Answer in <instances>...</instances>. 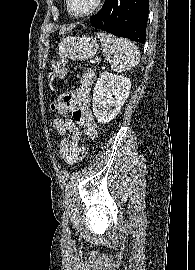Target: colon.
Here are the masks:
<instances>
[{
    "label": "colon",
    "instance_id": "5ec220e1",
    "mask_svg": "<svg viewBox=\"0 0 195 270\" xmlns=\"http://www.w3.org/2000/svg\"><path fill=\"white\" fill-rule=\"evenodd\" d=\"M74 101V93L73 91L66 92L60 96H58L53 103L51 104V110L53 112H58L61 110H65L69 108ZM88 154V147L86 145H82L80 148V159H85Z\"/></svg>",
    "mask_w": 195,
    "mask_h": 270
}]
</instances>
